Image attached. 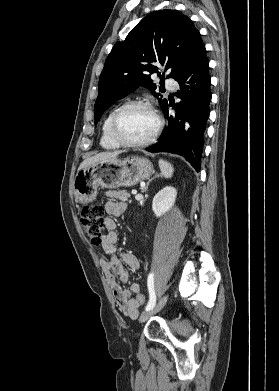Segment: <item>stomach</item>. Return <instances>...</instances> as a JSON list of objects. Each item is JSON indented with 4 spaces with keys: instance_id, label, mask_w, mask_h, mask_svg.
<instances>
[{
    "instance_id": "obj_1",
    "label": "stomach",
    "mask_w": 279,
    "mask_h": 391,
    "mask_svg": "<svg viewBox=\"0 0 279 391\" xmlns=\"http://www.w3.org/2000/svg\"><path fill=\"white\" fill-rule=\"evenodd\" d=\"M154 173L149 160L143 157H129L97 162L78 171L74 180L75 199L81 204L95 200L98 188H119L133 186L148 179Z\"/></svg>"
}]
</instances>
